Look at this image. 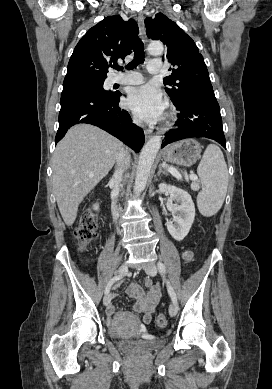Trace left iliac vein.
<instances>
[{"label": "left iliac vein", "instance_id": "left-iliac-vein-1", "mask_svg": "<svg viewBox=\"0 0 272 389\" xmlns=\"http://www.w3.org/2000/svg\"><path fill=\"white\" fill-rule=\"evenodd\" d=\"M145 272L150 276H155L157 274V267L154 264L145 267ZM178 312V305L176 302H172L169 307L170 316H175Z\"/></svg>", "mask_w": 272, "mask_h": 389}]
</instances>
